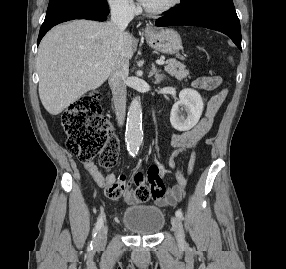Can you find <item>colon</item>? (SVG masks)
<instances>
[{
    "instance_id": "obj_1",
    "label": "colon",
    "mask_w": 286,
    "mask_h": 269,
    "mask_svg": "<svg viewBox=\"0 0 286 269\" xmlns=\"http://www.w3.org/2000/svg\"><path fill=\"white\" fill-rule=\"evenodd\" d=\"M178 59H185V49H179ZM195 78L194 88L210 91L209 100H205L203 110H220L227 96L222 78ZM62 126L68 136L67 149L81 162H90L99 156L103 168L115 166L119 153V141L110 122L102 116L99 95L96 92L84 95L75 100L62 114ZM148 171L137 173L132 181L121 176L107 189L108 198H122L135 185V195L139 201L150 196L160 198L165 194L163 177L165 163H148Z\"/></svg>"
}]
</instances>
